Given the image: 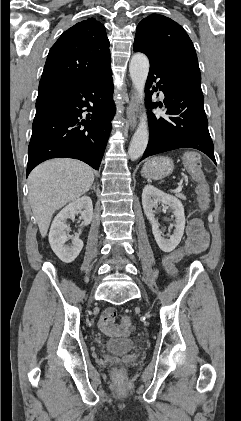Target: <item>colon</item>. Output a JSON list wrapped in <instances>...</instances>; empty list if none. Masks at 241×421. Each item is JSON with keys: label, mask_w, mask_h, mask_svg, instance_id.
I'll list each match as a JSON object with an SVG mask.
<instances>
[{"label": "colon", "mask_w": 241, "mask_h": 421, "mask_svg": "<svg viewBox=\"0 0 241 421\" xmlns=\"http://www.w3.org/2000/svg\"><path fill=\"white\" fill-rule=\"evenodd\" d=\"M185 166L191 175L197 181V201L200 210H204L209 203V185L204 178L203 171L201 170V157L196 152H190L185 157ZM184 256V250L178 248L169 254L165 260L164 265L166 270L174 277L177 276V269L175 264L180 261ZM121 323L124 325L131 324V319L128 315H123L121 317Z\"/></svg>", "instance_id": "obj_1"}]
</instances>
